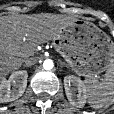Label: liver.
<instances>
[{
	"label": "liver",
	"instance_id": "6515ba94",
	"mask_svg": "<svg viewBox=\"0 0 114 114\" xmlns=\"http://www.w3.org/2000/svg\"><path fill=\"white\" fill-rule=\"evenodd\" d=\"M78 20L51 13L0 17V82L21 68L25 59L32 58L39 44L58 38Z\"/></svg>",
	"mask_w": 114,
	"mask_h": 114
}]
</instances>
